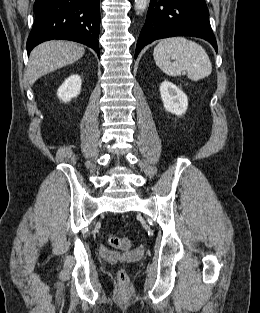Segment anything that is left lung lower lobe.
<instances>
[{
    "instance_id": "0a47b994",
    "label": "left lung lower lobe",
    "mask_w": 260,
    "mask_h": 313,
    "mask_svg": "<svg viewBox=\"0 0 260 313\" xmlns=\"http://www.w3.org/2000/svg\"><path fill=\"white\" fill-rule=\"evenodd\" d=\"M173 36L205 39L217 51L205 0H150L146 22L137 42L135 58L145 45Z\"/></svg>"
}]
</instances>
